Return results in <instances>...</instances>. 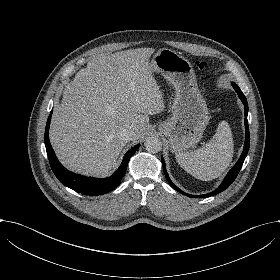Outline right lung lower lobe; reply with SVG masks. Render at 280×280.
<instances>
[{
	"instance_id": "98d812e1",
	"label": "right lung lower lobe",
	"mask_w": 280,
	"mask_h": 280,
	"mask_svg": "<svg viewBox=\"0 0 280 280\" xmlns=\"http://www.w3.org/2000/svg\"><path fill=\"white\" fill-rule=\"evenodd\" d=\"M52 116V111L47 120L45 129V146L49 159L50 166L58 178V180L65 186L85 195L96 196L108 193L114 190L125 175L127 165L131 156L139 148V144L130 149L124 156L123 161L118 170L108 178L98 179L80 176L65 169L58 161L52 146L49 141V125Z\"/></svg>"
}]
</instances>
